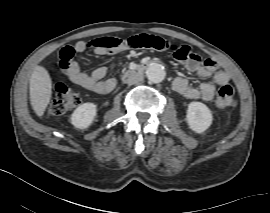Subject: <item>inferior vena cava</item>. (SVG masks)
Listing matches in <instances>:
<instances>
[{"label":"inferior vena cava","mask_w":270,"mask_h":213,"mask_svg":"<svg viewBox=\"0 0 270 213\" xmlns=\"http://www.w3.org/2000/svg\"><path fill=\"white\" fill-rule=\"evenodd\" d=\"M143 81V76L139 73H130L126 79V83L129 85L137 84Z\"/></svg>","instance_id":"obj_1"}]
</instances>
